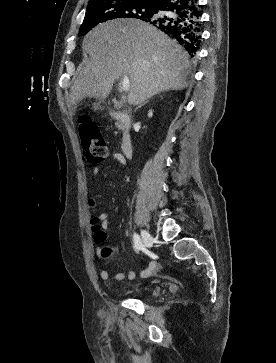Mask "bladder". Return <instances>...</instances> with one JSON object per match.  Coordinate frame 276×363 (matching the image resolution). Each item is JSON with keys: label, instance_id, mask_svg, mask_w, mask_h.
I'll return each instance as SVG.
<instances>
[{"label": "bladder", "instance_id": "1", "mask_svg": "<svg viewBox=\"0 0 276 363\" xmlns=\"http://www.w3.org/2000/svg\"><path fill=\"white\" fill-rule=\"evenodd\" d=\"M159 294V290L158 289H154V290H152V292H151V295L152 296H157Z\"/></svg>", "mask_w": 276, "mask_h": 363}]
</instances>
